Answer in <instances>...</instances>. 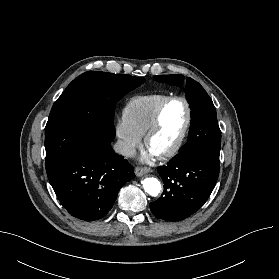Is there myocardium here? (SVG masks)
Returning <instances> with one entry per match:
<instances>
[{
    "mask_svg": "<svg viewBox=\"0 0 279 279\" xmlns=\"http://www.w3.org/2000/svg\"><path fill=\"white\" fill-rule=\"evenodd\" d=\"M176 100H180L185 104L186 111H187V117H186V121H185L183 130H182L181 134L179 135V137L177 138V140L166 151H164L160 154H157V156L162 159L174 156L179 151V149L183 145V143L188 135V132H189V129L191 126V122H192V108H191V104H190L189 100L186 97L181 96V95L170 96L169 98H167L158 107V109L154 115V118L152 120V123L150 124L149 128L147 129L146 133L144 134V143H145L146 147L149 148V143H150L151 138L158 131V129L161 125L162 115H163L166 107L171 102L176 101Z\"/></svg>",
    "mask_w": 279,
    "mask_h": 279,
    "instance_id": "1",
    "label": "myocardium"
}]
</instances>
